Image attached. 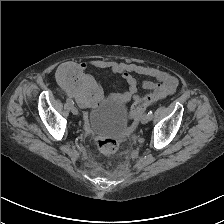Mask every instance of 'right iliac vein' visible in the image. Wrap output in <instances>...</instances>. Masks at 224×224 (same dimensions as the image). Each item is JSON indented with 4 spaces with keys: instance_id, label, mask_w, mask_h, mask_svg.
<instances>
[{
    "instance_id": "right-iliac-vein-1",
    "label": "right iliac vein",
    "mask_w": 224,
    "mask_h": 224,
    "mask_svg": "<svg viewBox=\"0 0 224 224\" xmlns=\"http://www.w3.org/2000/svg\"><path fill=\"white\" fill-rule=\"evenodd\" d=\"M71 112L73 115H77L78 114V110L75 106H71Z\"/></svg>"
}]
</instances>
